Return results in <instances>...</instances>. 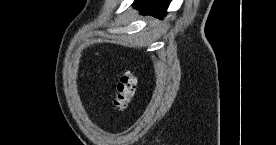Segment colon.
Listing matches in <instances>:
<instances>
[{
    "mask_svg": "<svg viewBox=\"0 0 276 145\" xmlns=\"http://www.w3.org/2000/svg\"><path fill=\"white\" fill-rule=\"evenodd\" d=\"M137 78L130 71H125L117 84L116 95L113 101L115 113L122 114L128 108L130 101L135 95Z\"/></svg>",
    "mask_w": 276,
    "mask_h": 145,
    "instance_id": "colon-1",
    "label": "colon"
}]
</instances>
